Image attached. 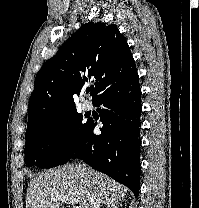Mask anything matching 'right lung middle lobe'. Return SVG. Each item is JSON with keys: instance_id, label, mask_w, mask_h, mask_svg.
I'll return each mask as SVG.
<instances>
[{"instance_id": "1", "label": "right lung middle lobe", "mask_w": 199, "mask_h": 208, "mask_svg": "<svg viewBox=\"0 0 199 208\" xmlns=\"http://www.w3.org/2000/svg\"><path fill=\"white\" fill-rule=\"evenodd\" d=\"M83 118L75 110L27 132L26 165L52 168L68 162L88 125Z\"/></svg>"}]
</instances>
